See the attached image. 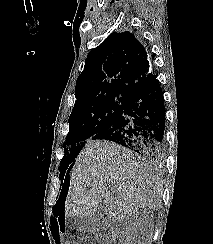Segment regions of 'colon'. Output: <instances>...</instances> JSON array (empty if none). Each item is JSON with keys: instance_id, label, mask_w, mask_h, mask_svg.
<instances>
[{"instance_id": "5ec220e1", "label": "colon", "mask_w": 213, "mask_h": 244, "mask_svg": "<svg viewBox=\"0 0 213 244\" xmlns=\"http://www.w3.org/2000/svg\"><path fill=\"white\" fill-rule=\"evenodd\" d=\"M65 244H77V243L74 242L73 240H67V241L65 242Z\"/></svg>"}]
</instances>
